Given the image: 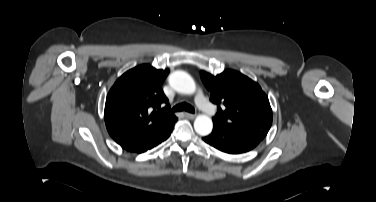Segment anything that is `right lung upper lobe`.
<instances>
[{"instance_id":"obj_1","label":"right lung upper lobe","mask_w":376,"mask_h":202,"mask_svg":"<svg viewBox=\"0 0 376 202\" xmlns=\"http://www.w3.org/2000/svg\"><path fill=\"white\" fill-rule=\"evenodd\" d=\"M168 69L158 70L139 65L117 79L105 103L104 119L110 136L122 148H128L151 137L175 117L161 108L168 99L162 83Z\"/></svg>"}]
</instances>
